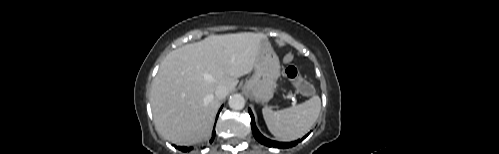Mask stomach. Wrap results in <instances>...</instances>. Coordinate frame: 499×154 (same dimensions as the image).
<instances>
[{
    "mask_svg": "<svg viewBox=\"0 0 499 154\" xmlns=\"http://www.w3.org/2000/svg\"><path fill=\"white\" fill-rule=\"evenodd\" d=\"M279 77L280 63L278 56L271 48L268 40H266L262 43L254 74L245 82L244 89L256 102H268L273 97L276 81Z\"/></svg>",
    "mask_w": 499,
    "mask_h": 154,
    "instance_id": "1",
    "label": "stomach"
}]
</instances>
